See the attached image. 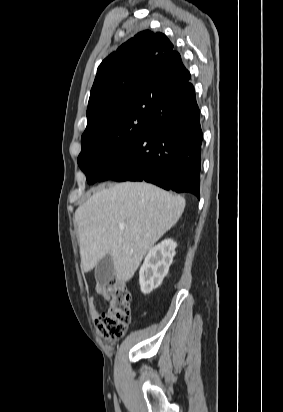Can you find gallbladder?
Returning a JSON list of instances; mask_svg holds the SVG:
<instances>
[{
  "mask_svg": "<svg viewBox=\"0 0 283 412\" xmlns=\"http://www.w3.org/2000/svg\"><path fill=\"white\" fill-rule=\"evenodd\" d=\"M114 274L113 259L110 254H107L95 267V279L100 285H104L114 277Z\"/></svg>",
  "mask_w": 283,
  "mask_h": 412,
  "instance_id": "bac80fb5",
  "label": "gallbladder"
}]
</instances>
